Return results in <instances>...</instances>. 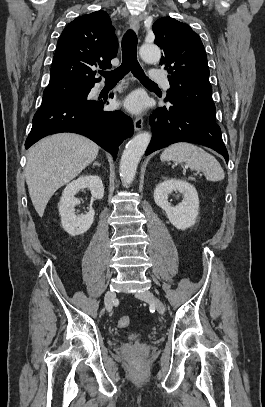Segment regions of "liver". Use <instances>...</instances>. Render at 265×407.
<instances>
[{"instance_id": "liver-1", "label": "liver", "mask_w": 265, "mask_h": 407, "mask_svg": "<svg viewBox=\"0 0 265 407\" xmlns=\"http://www.w3.org/2000/svg\"><path fill=\"white\" fill-rule=\"evenodd\" d=\"M99 146L74 133H58L32 146L27 155L26 183L35 210L43 216L48 201L97 157Z\"/></svg>"}]
</instances>
